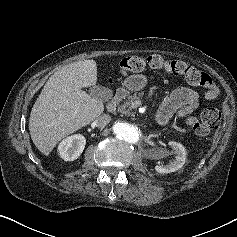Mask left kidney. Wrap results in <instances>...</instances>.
Wrapping results in <instances>:
<instances>
[{
	"label": "left kidney",
	"mask_w": 237,
	"mask_h": 237,
	"mask_svg": "<svg viewBox=\"0 0 237 237\" xmlns=\"http://www.w3.org/2000/svg\"><path fill=\"white\" fill-rule=\"evenodd\" d=\"M169 146L173 149V153L176 155L175 159L170 161L167 165L156 166L155 169L159 173H170L179 170L185 163L186 150L185 147L174 141L169 142Z\"/></svg>",
	"instance_id": "1"
}]
</instances>
